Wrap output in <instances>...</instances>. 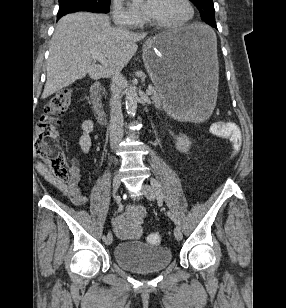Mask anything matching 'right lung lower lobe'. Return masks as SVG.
<instances>
[{
	"instance_id": "obj_1",
	"label": "right lung lower lobe",
	"mask_w": 286,
	"mask_h": 308,
	"mask_svg": "<svg viewBox=\"0 0 286 308\" xmlns=\"http://www.w3.org/2000/svg\"><path fill=\"white\" fill-rule=\"evenodd\" d=\"M74 11H89V12H100V13H104V12L97 11V10H73V11L58 12L57 20H58L60 17H62L63 15H65V14H67V13H70V12H74Z\"/></svg>"
}]
</instances>
